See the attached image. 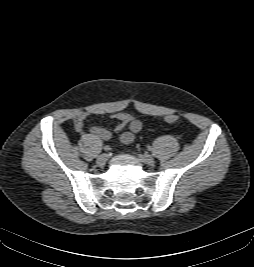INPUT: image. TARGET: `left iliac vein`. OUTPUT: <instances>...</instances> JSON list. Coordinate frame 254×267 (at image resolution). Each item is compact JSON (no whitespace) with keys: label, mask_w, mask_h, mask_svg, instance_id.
<instances>
[{"label":"left iliac vein","mask_w":254,"mask_h":267,"mask_svg":"<svg viewBox=\"0 0 254 267\" xmlns=\"http://www.w3.org/2000/svg\"><path fill=\"white\" fill-rule=\"evenodd\" d=\"M139 159L141 162H143L147 165H153L154 164V158L149 154H140Z\"/></svg>","instance_id":"1"}]
</instances>
